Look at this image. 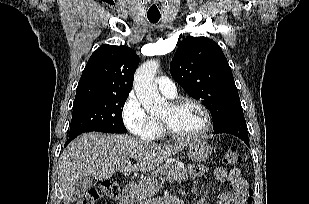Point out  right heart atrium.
I'll return each instance as SVG.
<instances>
[{
	"mask_svg": "<svg viewBox=\"0 0 309 204\" xmlns=\"http://www.w3.org/2000/svg\"><path fill=\"white\" fill-rule=\"evenodd\" d=\"M122 118L128 131L135 137L153 140L159 135L158 121L146 112L133 92L127 96L122 106Z\"/></svg>",
	"mask_w": 309,
	"mask_h": 204,
	"instance_id": "obj_1",
	"label": "right heart atrium"
}]
</instances>
